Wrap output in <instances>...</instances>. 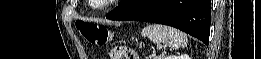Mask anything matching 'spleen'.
<instances>
[{"label": "spleen", "mask_w": 261, "mask_h": 59, "mask_svg": "<svg viewBox=\"0 0 261 59\" xmlns=\"http://www.w3.org/2000/svg\"><path fill=\"white\" fill-rule=\"evenodd\" d=\"M141 35L147 37L151 42L157 45H165L168 48L179 49L187 46V36L176 28L150 24L143 28Z\"/></svg>", "instance_id": "obj_1"}]
</instances>
